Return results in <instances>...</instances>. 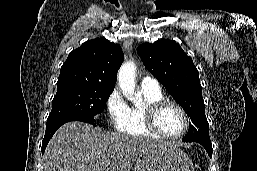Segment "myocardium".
I'll use <instances>...</instances> for the list:
<instances>
[{
  "mask_svg": "<svg viewBox=\"0 0 257 171\" xmlns=\"http://www.w3.org/2000/svg\"><path fill=\"white\" fill-rule=\"evenodd\" d=\"M166 106H173L175 107L180 114L182 115L184 126L183 130L177 134V135H167L163 133L158 125H157V116L159 112ZM145 122H146V127L150 132L155 134L156 136L163 138V139H169V140H175L183 137L186 132L188 131L189 128V119L186 111L184 108L177 102L164 98L158 101H155L153 103H150L146 107V115H145Z\"/></svg>",
  "mask_w": 257,
  "mask_h": 171,
  "instance_id": "myocardium-1",
  "label": "myocardium"
}]
</instances>
